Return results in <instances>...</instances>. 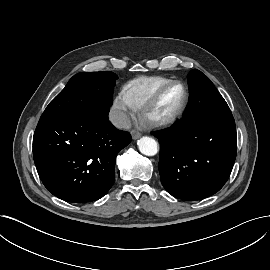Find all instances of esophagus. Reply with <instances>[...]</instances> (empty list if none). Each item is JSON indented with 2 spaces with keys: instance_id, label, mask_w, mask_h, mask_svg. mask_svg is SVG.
Masks as SVG:
<instances>
[{
  "instance_id": "1",
  "label": "esophagus",
  "mask_w": 270,
  "mask_h": 270,
  "mask_svg": "<svg viewBox=\"0 0 270 270\" xmlns=\"http://www.w3.org/2000/svg\"><path fill=\"white\" fill-rule=\"evenodd\" d=\"M131 135H132V138H133L134 140H136V139L140 138L141 133H140L139 131H137V130H132V131H131Z\"/></svg>"
}]
</instances>
